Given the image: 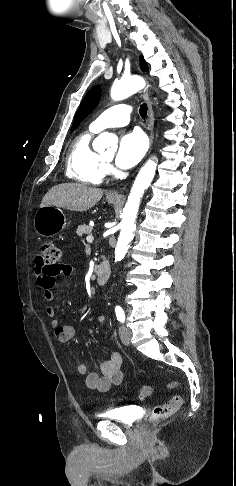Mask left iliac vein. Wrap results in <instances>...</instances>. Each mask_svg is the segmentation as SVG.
Masks as SVG:
<instances>
[{
  "label": "left iliac vein",
  "instance_id": "1",
  "mask_svg": "<svg viewBox=\"0 0 236 486\" xmlns=\"http://www.w3.org/2000/svg\"><path fill=\"white\" fill-rule=\"evenodd\" d=\"M119 336L124 345H129L131 341V331L124 325L119 328Z\"/></svg>",
  "mask_w": 236,
  "mask_h": 486
}]
</instances>
